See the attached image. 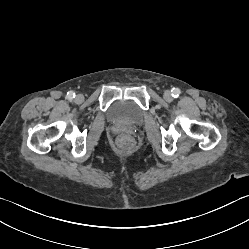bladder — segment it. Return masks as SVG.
Returning a JSON list of instances; mask_svg holds the SVG:
<instances>
[{
    "label": "bladder",
    "instance_id": "1",
    "mask_svg": "<svg viewBox=\"0 0 249 249\" xmlns=\"http://www.w3.org/2000/svg\"><path fill=\"white\" fill-rule=\"evenodd\" d=\"M107 117L112 122L137 125L143 121L144 111L136 103L122 99L109 106Z\"/></svg>",
    "mask_w": 249,
    "mask_h": 249
}]
</instances>
